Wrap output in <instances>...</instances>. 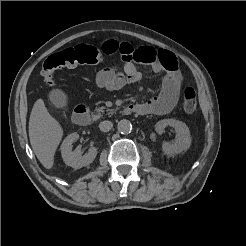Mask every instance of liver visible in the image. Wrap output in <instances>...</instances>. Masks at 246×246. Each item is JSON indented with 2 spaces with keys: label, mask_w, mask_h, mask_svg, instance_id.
Here are the masks:
<instances>
[{
  "label": "liver",
  "mask_w": 246,
  "mask_h": 246,
  "mask_svg": "<svg viewBox=\"0 0 246 246\" xmlns=\"http://www.w3.org/2000/svg\"><path fill=\"white\" fill-rule=\"evenodd\" d=\"M62 136L60 123L50 115L44 101L38 99L30 114L29 139L36 157L46 169L54 165V155Z\"/></svg>",
  "instance_id": "obj_1"
}]
</instances>
